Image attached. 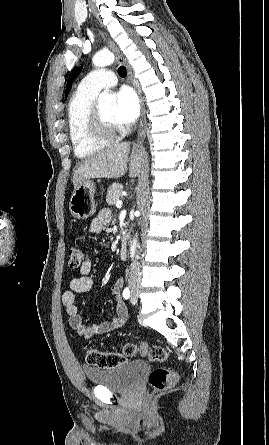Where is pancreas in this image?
<instances>
[{"label":"pancreas","mask_w":269,"mask_h":445,"mask_svg":"<svg viewBox=\"0 0 269 445\" xmlns=\"http://www.w3.org/2000/svg\"><path fill=\"white\" fill-rule=\"evenodd\" d=\"M123 190V186L119 183H113L110 185L107 196H106V202L108 205H114L120 198L122 197L121 192Z\"/></svg>","instance_id":"pancreas-1"}]
</instances>
